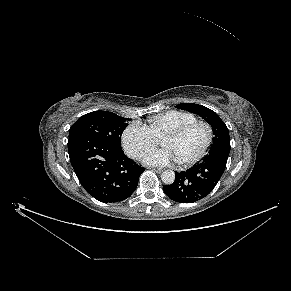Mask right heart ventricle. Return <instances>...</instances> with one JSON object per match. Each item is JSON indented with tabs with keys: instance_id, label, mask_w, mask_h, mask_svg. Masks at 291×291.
<instances>
[{
	"instance_id": "e07e8e85",
	"label": "right heart ventricle",
	"mask_w": 291,
	"mask_h": 291,
	"mask_svg": "<svg viewBox=\"0 0 291 291\" xmlns=\"http://www.w3.org/2000/svg\"><path fill=\"white\" fill-rule=\"evenodd\" d=\"M195 120H197V117L192 113L169 110L153 116L149 120V129L157 139H161L169 131Z\"/></svg>"
}]
</instances>
